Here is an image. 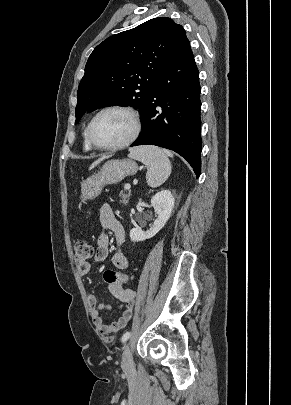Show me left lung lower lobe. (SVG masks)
Returning <instances> with one entry per match:
<instances>
[{
    "label": "left lung lower lobe",
    "mask_w": 291,
    "mask_h": 405,
    "mask_svg": "<svg viewBox=\"0 0 291 405\" xmlns=\"http://www.w3.org/2000/svg\"><path fill=\"white\" fill-rule=\"evenodd\" d=\"M200 107L199 71L186 39L154 82L141 120L144 131L131 146L156 145L173 150L188 161L198 178Z\"/></svg>",
    "instance_id": "obj_1"
}]
</instances>
